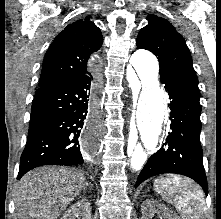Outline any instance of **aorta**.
<instances>
[{
	"label": "aorta",
	"instance_id": "762f6f07",
	"mask_svg": "<svg viewBox=\"0 0 221 219\" xmlns=\"http://www.w3.org/2000/svg\"><path fill=\"white\" fill-rule=\"evenodd\" d=\"M142 88L135 112V128L141 142H130L127 162L134 171L142 169L147 159V151L155 149L165 116L164 95L159 87V64L157 58L147 50H137L130 58Z\"/></svg>",
	"mask_w": 221,
	"mask_h": 219
}]
</instances>
